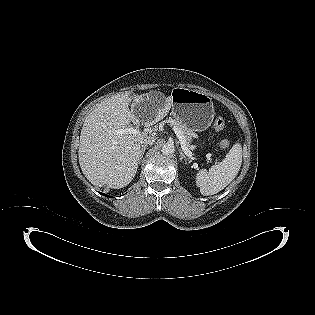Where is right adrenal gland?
<instances>
[{
    "label": "right adrenal gland",
    "instance_id": "right-adrenal-gland-1",
    "mask_svg": "<svg viewBox=\"0 0 315 315\" xmlns=\"http://www.w3.org/2000/svg\"><path fill=\"white\" fill-rule=\"evenodd\" d=\"M147 148V145H143L141 150H140V158H139V163L141 162L142 158H143V155H144V152Z\"/></svg>",
    "mask_w": 315,
    "mask_h": 315
}]
</instances>
